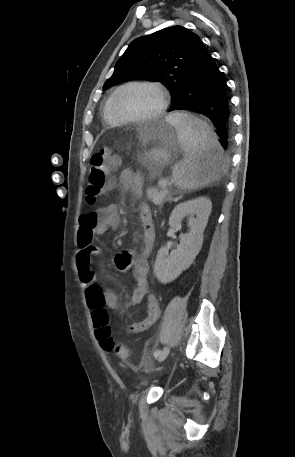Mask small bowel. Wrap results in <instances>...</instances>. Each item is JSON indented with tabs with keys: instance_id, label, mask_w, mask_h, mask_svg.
<instances>
[{
	"instance_id": "c3829d8e",
	"label": "small bowel",
	"mask_w": 295,
	"mask_h": 457,
	"mask_svg": "<svg viewBox=\"0 0 295 457\" xmlns=\"http://www.w3.org/2000/svg\"><path fill=\"white\" fill-rule=\"evenodd\" d=\"M119 187L124 192H130L134 197H140L142 195L143 182L139 175L129 169H125L120 173ZM138 212L143 228L142 243L139 251H121L113 260V265L118 271L133 270L135 288L130 299V305H137L144 296H147L146 317L128 326L129 331L132 333L147 331L158 320L160 315L158 298L149 291L147 279V258L153 248L155 226L150 207L146 203L139 205ZM79 222L80 228L77 238L79 250L76 255V267L79 278L86 289L88 304L90 306V292L94 291L93 298L95 300H100L110 309L117 310L119 308L118 295L98 282L92 269V262L101 252V246L96 242H100V238L105 232L115 230L120 224L118 208L112 204L84 213L80 216Z\"/></svg>"
}]
</instances>
